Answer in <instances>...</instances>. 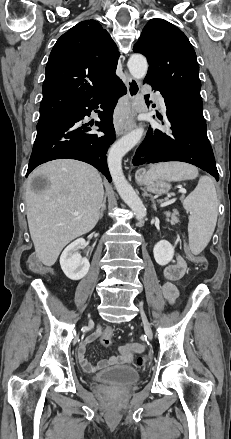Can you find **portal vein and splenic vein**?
I'll return each instance as SVG.
<instances>
[{
    "mask_svg": "<svg viewBox=\"0 0 231 439\" xmlns=\"http://www.w3.org/2000/svg\"><path fill=\"white\" fill-rule=\"evenodd\" d=\"M169 204V202H165V203H163V204H161V206L162 207H164V206H166V205H168ZM78 213H75V215H77Z\"/></svg>",
    "mask_w": 231,
    "mask_h": 439,
    "instance_id": "1",
    "label": "portal vein and splenic vein"
}]
</instances>
